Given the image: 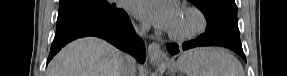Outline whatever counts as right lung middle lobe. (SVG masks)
Returning <instances> with one entry per match:
<instances>
[{
	"label": "right lung middle lobe",
	"instance_id": "right-lung-middle-lobe-1",
	"mask_svg": "<svg viewBox=\"0 0 287 76\" xmlns=\"http://www.w3.org/2000/svg\"><path fill=\"white\" fill-rule=\"evenodd\" d=\"M123 13L107 0H60L56 34L81 25L110 21Z\"/></svg>",
	"mask_w": 287,
	"mask_h": 76
}]
</instances>
